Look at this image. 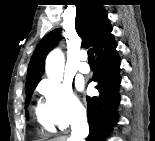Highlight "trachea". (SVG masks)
Listing matches in <instances>:
<instances>
[{
	"instance_id": "3493384b",
	"label": "trachea",
	"mask_w": 155,
	"mask_h": 141,
	"mask_svg": "<svg viewBox=\"0 0 155 141\" xmlns=\"http://www.w3.org/2000/svg\"><path fill=\"white\" fill-rule=\"evenodd\" d=\"M88 61H89V63H96L93 49L88 50Z\"/></svg>"
}]
</instances>
